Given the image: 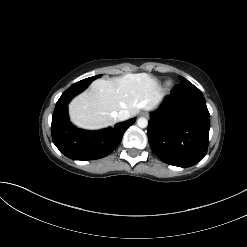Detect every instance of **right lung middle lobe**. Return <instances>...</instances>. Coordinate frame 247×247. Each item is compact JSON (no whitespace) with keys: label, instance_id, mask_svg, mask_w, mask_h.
<instances>
[{"label":"right lung middle lobe","instance_id":"obj_1","mask_svg":"<svg viewBox=\"0 0 247 247\" xmlns=\"http://www.w3.org/2000/svg\"><path fill=\"white\" fill-rule=\"evenodd\" d=\"M99 77H101V75L89 77V78H86V79H83V80L79 81V83H81V84H89V83H91L93 80H95V79H97V78H99Z\"/></svg>","mask_w":247,"mask_h":247}]
</instances>
